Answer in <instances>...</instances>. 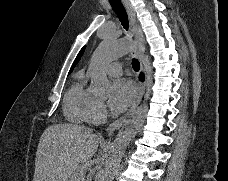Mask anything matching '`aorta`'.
<instances>
[{"label":"aorta","instance_id":"762f6f07","mask_svg":"<svg viewBox=\"0 0 228 181\" xmlns=\"http://www.w3.org/2000/svg\"><path fill=\"white\" fill-rule=\"evenodd\" d=\"M133 48L132 42L126 39L115 40L107 37L100 43L92 56L88 69V75L91 78V90L94 94L100 96L109 94L110 82L104 70L105 65L125 55ZM147 111V104L144 103L139 106L118 132L114 141L112 155L102 172L101 181H113L115 166L121 160L131 140L142 128Z\"/></svg>","mask_w":228,"mask_h":181}]
</instances>
